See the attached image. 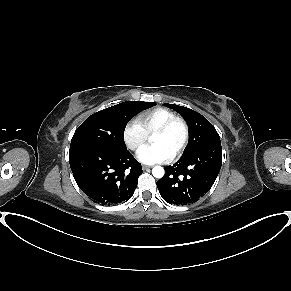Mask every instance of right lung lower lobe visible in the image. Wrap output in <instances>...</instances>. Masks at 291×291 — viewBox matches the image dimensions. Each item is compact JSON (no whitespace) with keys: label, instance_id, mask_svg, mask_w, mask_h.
I'll list each match as a JSON object with an SVG mask.
<instances>
[{"label":"right lung lower lobe","instance_id":"obj_1","mask_svg":"<svg viewBox=\"0 0 291 291\" xmlns=\"http://www.w3.org/2000/svg\"><path fill=\"white\" fill-rule=\"evenodd\" d=\"M69 162L79 188L101 205L129 200L143 172L141 164L127 149H78L69 152Z\"/></svg>","mask_w":291,"mask_h":291}]
</instances>
